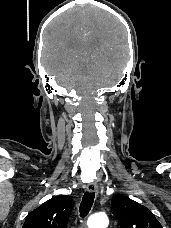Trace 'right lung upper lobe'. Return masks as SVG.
<instances>
[{
  "mask_svg": "<svg viewBox=\"0 0 171 228\" xmlns=\"http://www.w3.org/2000/svg\"><path fill=\"white\" fill-rule=\"evenodd\" d=\"M72 208L73 201L69 196L53 197L33 210L22 228H66Z\"/></svg>",
  "mask_w": 171,
  "mask_h": 228,
  "instance_id": "1",
  "label": "right lung upper lobe"
}]
</instances>
